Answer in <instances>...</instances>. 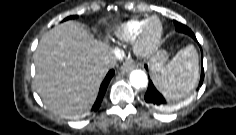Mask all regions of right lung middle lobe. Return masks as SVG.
<instances>
[{"label": "right lung middle lobe", "mask_w": 236, "mask_h": 135, "mask_svg": "<svg viewBox=\"0 0 236 135\" xmlns=\"http://www.w3.org/2000/svg\"><path fill=\"white\" fill-rule=\"evenodd\" d=\"M77 16H69L66 19L76 18Z\"/></svg>", "instance_id": "1"}]
</instances>
